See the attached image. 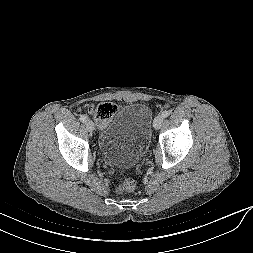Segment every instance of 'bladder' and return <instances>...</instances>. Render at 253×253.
<instances>
[{
    "instance_id": "1",
    "label": "bladder",
    "mask_w": 253,
    "mask_h": 253,
    "mask_svg": "<svg viewBox=\"0 0 253 253\" xmlns=\"http://www.w3.org/2000/svg\"><path fill=\"white\" fill-rule=\"evenodd\" d=\"M153 113L143 103L122 106L102 127L98 145L104 159L121 168L137 165L151 138Z\"/></svg>"
}]
</instances>
